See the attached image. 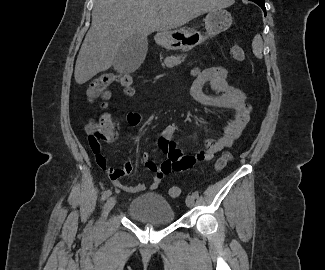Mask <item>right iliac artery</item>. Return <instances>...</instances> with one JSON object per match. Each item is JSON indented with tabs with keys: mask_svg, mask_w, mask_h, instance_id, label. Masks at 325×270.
Returning a JSON list of instances; mask_svg holds the SVG:
<instances>
[{
	"mask_svg": "<svg viewBox=\"0 0 325 270\" xmlns=\"http://www.w3.org/2000/svg\"><path fill=\"white\" fill-rule=\"evenodd\" d=\"M111 193H112L111 190L104 191L101 197V201H104L106 198H108L111 195Z\"/></svg>",
	"mask_w": 325,
	"mask_h": 270,
	"instance_id": "right-iliac-artery-1",
	"label": "right iliac artery"
}]
</instances>
